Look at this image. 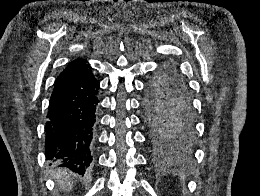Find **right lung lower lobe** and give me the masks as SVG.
Segmentation results:
<instances>
[{
  "mask_svg": "<svg viewBox=\"0 0 260 196\" xmlns=\"http://www.w3.org/2000/svg\"><path fill=\"white\" fill-rule=\"evenodd\" d=\"M99 87L90 68L56 79L45 126L46 159L51 163L81 175L91 168Z\"/></svg>",
  "mask_w": 260,
  "mask_h": 196,
  "instance_id": "obj_1",
  "label": "right lung lower lobe"
}]
</instances>
